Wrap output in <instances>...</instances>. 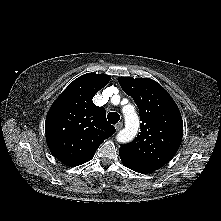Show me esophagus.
Listing matches in <instances>:
<instances>
[{
    "label": "esophagus",
    "mask_w": 221,
    "mask_h": 221,
    "mask_svg": "<svg viewBox=\"0 0 221 221\" xmlns=\"http://www.w3.org/2000/svg\"><path fill=\"white\" fill-rule=\"evenodd\" d=\"M123 127V123L122 122H119L115 125V129L116 131H119L121 128Z\"/></svg>",
    "instance_id": "1"
}]
</instances>
